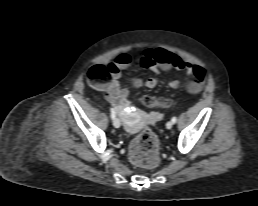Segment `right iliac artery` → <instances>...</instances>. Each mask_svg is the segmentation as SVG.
I'll list each match as a JSON object with an SVG mask.
<instances>
[{"mask_svg": "<svg viewBox=\"0 0 258 206\" xmlns=\"http://www.w3.org/2000/svg\"><path fill=\"white\" fill-rule=\"evenodd\" d=\"M111 111V118L114 119L115 118V110L113 108H110Z\"/></svg>", "mask_w": 258, "mask_h": 206, "instance_id": "right-iliac-artery-1", "label": "right iliac artery"}]
</instances>
